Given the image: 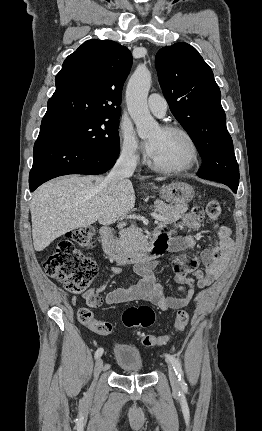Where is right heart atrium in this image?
Listing matches in <instances>:
<instances>
[{
    "label": "right heart atrium",
    "mask_w": 262,
    "mask_h": 431,
    "mask_svg": "<svg viewBox=\"0 0 262 431\" xmlns=\"http://www.w3.org/2000/svg\"><path fill=\"white\" fill-rule=\"evenodd\" d=\"M119 135L121 154L130 160L137 159L140 155V145L130 124L122 123L119 129Z\"/></svg>",
    "instance_id": "right-heart-atrium-1"
}]
</instances>
